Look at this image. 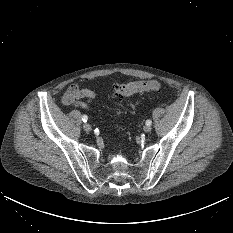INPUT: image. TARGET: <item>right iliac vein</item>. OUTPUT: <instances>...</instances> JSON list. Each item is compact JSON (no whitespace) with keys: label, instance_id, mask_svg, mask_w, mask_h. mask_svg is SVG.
<instances>
[{"label":"right iliac vein","instance_id":"right-iliac-vein-1","mask_svg":"<svg viewBox=\"0 0 233 233\" xmlns=\"http://www.w3.org/2000/svg\"><path fill=\"white\" fill-rule=\"evenodd\" d=\"M83 129H84L86 132H90V131H91V126H90V124L85 123V124L83 125Z\"/></svg>","mask_w":233,"mask_h":233}]
</instances>
